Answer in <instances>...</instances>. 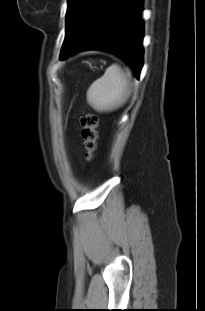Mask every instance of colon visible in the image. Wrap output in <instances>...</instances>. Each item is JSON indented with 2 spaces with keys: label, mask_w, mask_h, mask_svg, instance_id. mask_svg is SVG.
Wrapping results in <instances>:
<instances>
[{
  "label": "colon",
  "mask_w": 205,
  "mask_h": 311,
  "mask_svg": "<svg viewBox=\"0 0 205 311\" xmlns=\"http://www.w3.org/2000/svg\"><path fill=\"white\" fill-rule=\"evenodd\" d=\"M98 124L99 119L93 113H87L81 118L82 140L85 149L84 157L86 161L93 160L98 145Z\"/></svg>",
  "instance_id": "1"
}]
</instances>
